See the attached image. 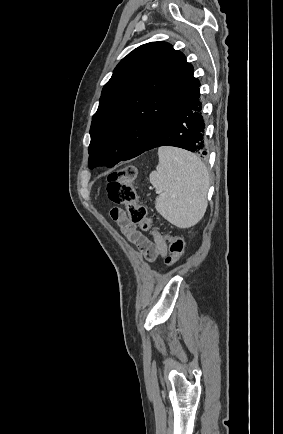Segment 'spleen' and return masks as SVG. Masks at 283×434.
Listing matches in <instances>:
<instances>
[{
  "instance_id": "3e777b00",
  "label": "spleen",
  "mask_w": 283,
  "mask_h": 434,
  "mask_svg": "<svg viewBox=\"0 0 283 434\" xmlns=\"http://www.w3.org/2000/svg\"><path fill=\"white\" fill-rule=\"evenodd\" d=\"M159 163L149 175L156 189V210L179 228L197 224L207 208L209 174L199 157L188 151L162 147Z\"/></svg>"
}]
</instances>
